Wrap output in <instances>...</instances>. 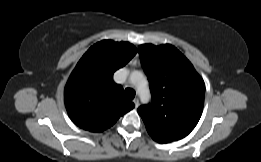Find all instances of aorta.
Here are the masks:
<instances>
[{"instance_id":"762f6f07","label":"aorta","mask_w":261,"mask_h":162,"mask_svg":"<svg viewBox=\"0 0 261 162\" xmlns=\"http://www.w3.org/2000/svg\"><path fill=\"white\" fill-rule=\"evenodd\" d=\"M130 78H131L132 83L137 85L139 95L141 97L149 98L150 92H149L147 82H146L144 75L140 71H133L131 73Z\"/></svg>"}]
</instances>
